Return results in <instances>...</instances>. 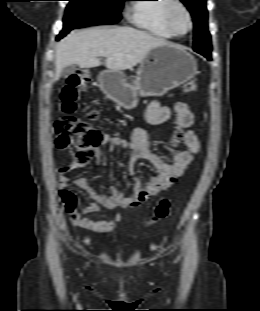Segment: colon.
<instances>
[{
    "instance_id": "obj_1",
    "label": "colon",
    "mask_w": 260,
    "mask_h": 311,
    "mask_svg": "<svg viewBox=\"0 0 260 311\" xmlns=\"http://www.w3.org/2000/svg\"><path fill=\"white\" fill-rule=\"evenodd\" d=\"M90 80V73L87 70H80L71 75L61 91L62 110L67 113L55 123L56 140L58 149H71L75 152V160L80 164L88 163L96 156L97 148L103 142L102 132L92 125L90 121L97 119V112L90 111L88 120L72 115L78 107L82 93ZM186 93H195L197 84L194 80H189L184 84ZM184 133L177 131L172 140V145L184 142ZM171 210V201L162 199L155 207L147 225H154L166 219Z\"/></svg>"
}]
</instances>
